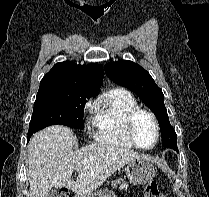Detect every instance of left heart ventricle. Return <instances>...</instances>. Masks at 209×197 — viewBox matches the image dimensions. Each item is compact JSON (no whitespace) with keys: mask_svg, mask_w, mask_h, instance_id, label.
Masks as SVG:
<instances>
[{"mask_svg":"<svg viewBox=\"0 0 209 197\" xmlns=\"http://www.w3.org/2000/svg\"><path fill=\"white\" fill-rule=\"evenodd\" d=\"M135 136L141 146H151L155 141V128L146 114L138 115L135 122Z\"/></svg>","mask_w":209,"mask_h":197,"instance_id":"b2bd125f","label":"left heart ventricle"}]
</instances>
